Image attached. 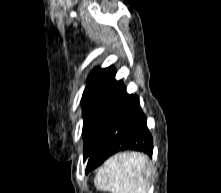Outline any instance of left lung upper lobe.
Returning <instances> with one entry per match:
<instances>
[{
    "mask_svg": "<svg viewBox=\"0 0 221 193\" xmlns=\"http://www.w3.org/2000/svg\"><path fill=\"white\" fill-rule=\"evenodd\" d=\"M115 69H95L82 96L84 160L89 158L109 122L108 113L123 84L115 80Z\"/></svg>",
    "mask_w": 221,
    "mask_h": 193,
    "instance_id": "1",
    "label": "left lung upper lobe"
}]
</instances>
